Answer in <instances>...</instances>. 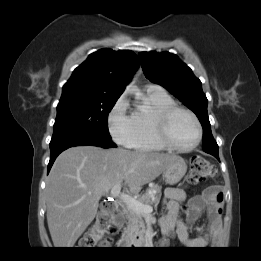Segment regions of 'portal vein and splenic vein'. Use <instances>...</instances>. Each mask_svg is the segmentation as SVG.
Segmentation results:
<instances>
[{
  "mask_svg": "<svg viewBox=\"0 0 261 261\" xmlns=\"http://www.w3.org/2000/svg\"><path fill=\"white\" fill-rule=\"evenodd\" d=\"M111 196L119 197L129 208L137 213L146 214L153 211V208L150 205L144 204L128 194L121 193V182L111 189Z\"/></svg>",
  "mask_w": 261,
  "mask_h": 261,
  "instance_id": "18ae733b",
  "label": "portal vein and splenic vein"
}]
</instances>
